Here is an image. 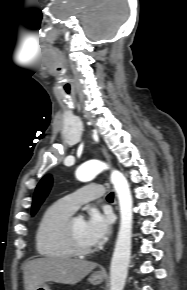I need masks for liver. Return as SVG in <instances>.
<instances>
[{"instance_id": "1", "label": "liver", "mask_w": 187, "mask_h": 290, "mask_svg": "<svg viewBox=\"0 0 187 290\" xmlns=\"http://www.w3.org/2000/svg\"><path fill=\"white\" fill-rule=\"evenodd\" d=\"M96 263L59 257H43L27 261L23 266L25 290H35L48 281L74 285L87 276Z\"/></svg>"}]
</instances>
